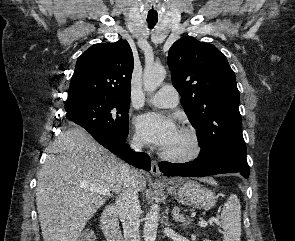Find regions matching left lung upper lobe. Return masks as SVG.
<instances>
[{
    "label": "left lung upper lobe",
    "mask_w": 295,
    "mask_h": 241,
    "mask_svg": "<svg viewBox=\"0 0 295 241\" xmlns=\"http://www.w3.org/2000/svg\"><path fill=\"white\" fill-rule=\"evenodd\" d=\"M172 83L196 129L199 157L226 155L246 160L234 71L214 45L185 36L168 52Z\"/></svg>",
    "instance_id": "1"
}]
</instances>
